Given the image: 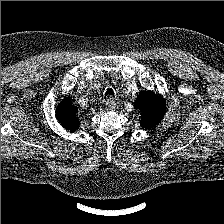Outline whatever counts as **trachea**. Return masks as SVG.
<instances>
[{"label": "trachea", "instance_id": "1", "mask_svg": "<svg viewBox=\"0 0 224 224\" xmlns=\"http://www.w3.org/2000/svg\"><path fill=\"white\" fill-rule=\"evenodd\" d=\"M112 96H114V92H113V90L112 89H107V91H106V93H105V98L106 97H112Z\"/></svg>", "mask_w": 224, "mask_h": 224}]
</instances>
